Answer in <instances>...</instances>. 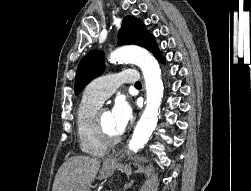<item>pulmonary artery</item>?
<instances>
[{"label":"pulmonary artery","instance_id":"pulmonary-artery-1","mask_svg":"<svg viewBox=\"0 0 251 191\" xmlns=\"http://www.w3.org/2000/svg\"><path fill=\"white\" fill-rule=\"evenodd\" d=\"M136 78H139V73H136V68H126V70L119 73L104 75L92 83L91 87L85 92V96L103 102L111 96L121 84L134 82Z\"/></svg>","mask_w":251,"mask_h":191}]
</instances>
